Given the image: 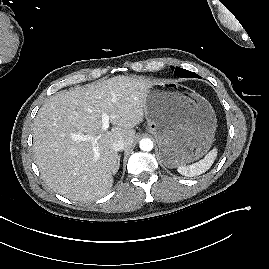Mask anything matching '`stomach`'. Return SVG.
Returning a JSON list of instances; mask_svg holds the SVG:
<instances>
[{
	"label": "stomach",
	"mask_w": 269,
	"mask_h": 269,
	"mask_svg": "<svg viewBox=\"0 0 269 269\" xmlns=\"http://www.w3.org/2000/svg\"><path fill=\"white\" fill-rule=\"evenodd\" d=\"M147 130L156 138L169 168L202 157L210 148L217 119L211 104L174 82H152L144 105Z\"/></svg>",
	"instance_id": "obj_1"
}]
</instances>
